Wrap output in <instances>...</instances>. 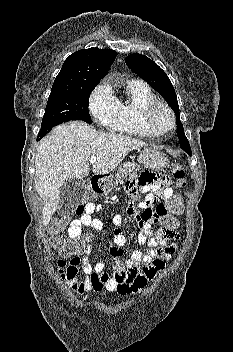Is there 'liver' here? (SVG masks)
<instances>
[{"label": "liver", "mask_w": 233, "mask_h": 352, "mask_svg": "<svg viewBox=\"0 0 233 352\" xmlns=\"http://www.w3.org/2000/svg\"><path fill=\"white\" fill-rule=\"evenodd\" d=\"M146 143L138 139L101 133L81 121L55 127L41 141L35 157V188L44 201L43 224L48 225L57 210L59 191L68 179L89 175V159L97 157L92 170L97 175L112 172L129 152Z\"/></svg>", "instance_id": "6515ba94"}]
</instances>
